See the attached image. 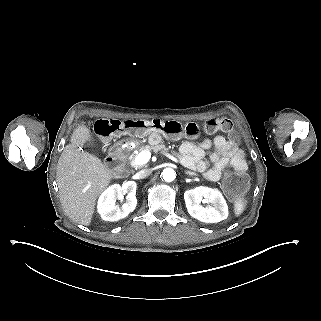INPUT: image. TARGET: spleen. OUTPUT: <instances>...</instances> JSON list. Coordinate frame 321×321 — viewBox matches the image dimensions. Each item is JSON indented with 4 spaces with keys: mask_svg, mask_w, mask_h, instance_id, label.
<instances>
[{
    "mask_svg": "<svg viewBox=\"0 0 321 321\" xmlns=\"http://www.w3.org/2000/svg\"><path fill=\"white\" fill-rule=\"evenodd\" d=\"M246 206V199L243 197L236 198L233 202V212L236 217H239Z\"/></svg>",
    "mask_w": 321,
    "mask_h": 321,
    "instance_id": "1",
    "label": "spleen"
}]
</instances>
